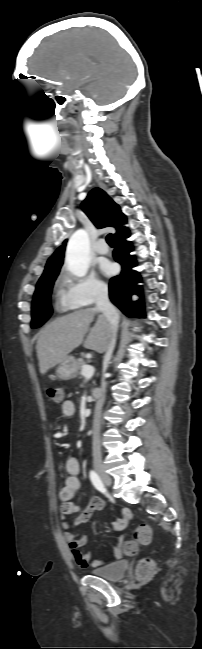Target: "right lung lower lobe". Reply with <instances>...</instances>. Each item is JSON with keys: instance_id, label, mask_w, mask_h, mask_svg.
<instances>
[{"instance_id": "98d812e1", "label": "right lung lower lobe", "mask_w": 202, "mask_h": 649, "mask_svg": "<svg viewBox=\"0 0 202 649\" xmlns=\"http://www.w3.org/2000/svg\"><path fill=\"white\" fill-rule=\"evenodd\" d=\"M129 237V231L121 233L114 238V251L113 257L121 267L122 271L119 275L111 278L109 283V297L113 304H115L125 315L134 317L144 316V306L142 299L133 302L131 301L132 294L141 296V286L136 283L141 282L138 272L131 268L136 266L134 256L129 255L132 245L126 241L125 238Z\"/></svg>"}]
</instances>
